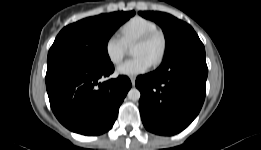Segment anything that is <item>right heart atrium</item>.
<instances>
[{
    "mask_svg": "<svg viewBox=\"0 0 261 150\" xmlns=\"http://www.w3.org/2000/svg\"><path fill=\"white\" fill-rule=\"evenodd\" d=\"M104 50L109 61L112 64L117 65L123 60L127 50V45L121 37L112 34L106 39Z\"/></svg>",
    "mask_w": 261,
    "mask_h": 150,
    "instance_id": "right-heart-atrium-1",
    "label": "right heart atrium"
}]
</instances>
